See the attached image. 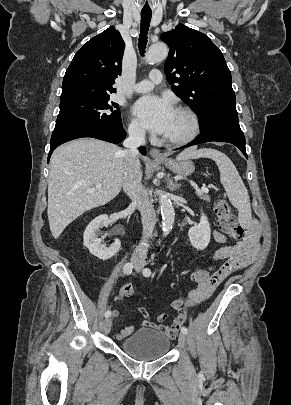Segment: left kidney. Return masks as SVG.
I'll list each match as a JSON object with an SVG mask.
<instances>
[{"label": "left kidney", "mask_w": 291, "mask_h": 405, "mask_svg": "<svg viewBox=\"0 0 291 405\" xmlns=\"http://www.w3.org/2000/svg\"><path fill=\"white\" fill-rule=\"evenodd\" d=\"M188 236L195 249L204 250L208 246L211 238V228L205 214H201L200 223L198 225L189 229Z\"/></svg>", "instance_id": "1"}]
</instances>
